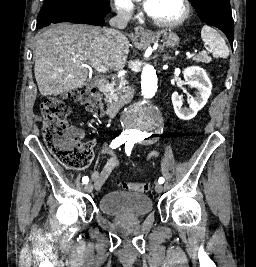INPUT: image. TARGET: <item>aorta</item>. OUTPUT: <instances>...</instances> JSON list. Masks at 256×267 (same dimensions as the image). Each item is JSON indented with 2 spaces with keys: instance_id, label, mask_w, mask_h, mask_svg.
I'll list each match as a JSON object with an SVG mask.
<instances>
[{
  "instance_id": "762f6f07",
  "label": "aorta",
  "mask_w": 256,
  "mask_h": 267,
  "mask_svg": "<svg viewBox=\"0 0 256 267\" xmlns=\"http://www.w3.org/2000/svg\"><path fill=\"white\" fill-rule=\"evenodd\" d=\"M145 66L141 75L142 93L146 97H153L156 91L157 72L154 66ZM159 108L153 104H134L128 108L127 117H123L122 127H158L163 117H158ZM128 133H153V128H128ZM142 143H159V138H142Z\"/></svg>"
}]
</instances>
